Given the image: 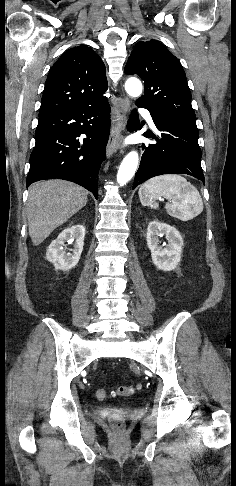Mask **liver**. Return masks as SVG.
<instances>
[{"instance_id": "6515ba94", "label": "liver", "mask_w": 236, "mask_h": 486, "mask_svg": "<svg viewBox=\"0 0 236 486\" xmlns=\"http://www.w3.org/2000/svg\"><path fill=\"white\" fill-rule=\"evenodd\" d=\"M28 190L29 235L35 246L82 209L88 200L84 188L64 180L37 182Z\"/></svg>"}]
</instances>
